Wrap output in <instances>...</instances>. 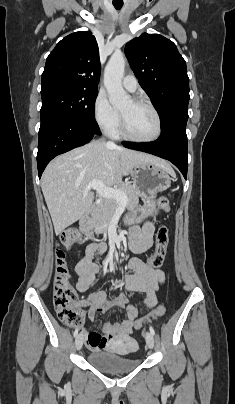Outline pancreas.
Wrapping results in <instances>:
<instances>
[{"label": "pancreas", "mask_w": 235, "mask_h": 404, "mask_svg": "<svg viewBox=\"0 0 235 404\" xmlns=\"http://www.w3.org/2000/svg\"><path fill=\"white\" fill-rule=\"evenodd\" d=\"M123 191L127 196V207L133 208L138 205V191L136 186L130 183H121L118 188ZM119 206V202L113 198H105L98 205L92 217V228H94L96 233H106L108 226L115 215L116 209Z\"/></svg>", "instance_id": "pancreas-1"}]
</instances>
